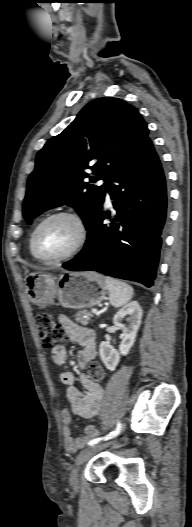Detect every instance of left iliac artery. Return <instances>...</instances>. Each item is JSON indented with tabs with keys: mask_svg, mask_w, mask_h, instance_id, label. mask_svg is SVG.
<instances>
[{
	"mask_svg": "<svg viewBox=\"0 0 192 527\" xmlns=\"http://www.w3.org/2000/svg\"><path fill=\"white\" fill-rule=\"evenodd\" d=\"M121 428H122V424H121L120 421H118L117 426H116V428H115L114 431L110 432V433H109L108 435H106L105 437H99V438H94V439L90 440V441L88 442V445H89V446H93V445L99 443V442L102 441V440H105V441H106V440H109V439L115 437L116 435H118V434L120 433Z\"/></svg>",
	"mask_w": 192,
	"mask_h": 527,
	"instance_id": "left-iliac-artery-1",
	"label": "left iliac artery"
}]
</instances>
